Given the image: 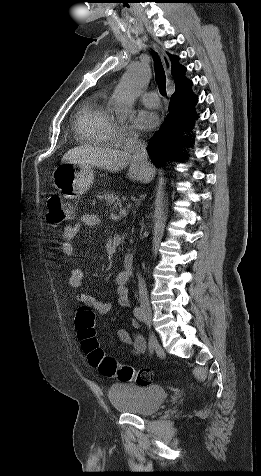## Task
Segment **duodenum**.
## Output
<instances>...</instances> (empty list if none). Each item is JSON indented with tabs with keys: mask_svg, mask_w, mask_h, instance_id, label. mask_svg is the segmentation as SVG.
Segmentation results:
<instances>
[{
	"mask_svg": "<svg viewBox=\"0 0 261 476\" xmlns=\"http://www.w3.org/2000/svg\"><path fill=\"white\" fill-rule=\"evenodd\" d=\"M124 272L127 276L131 275L134 271V255L127 253L124 256Z\"/></svg>",
	"mask_w": 261,
	"mask_h": 476,
	"instance_id": "1",
	"label": "duodenum"
}]
</instances>
